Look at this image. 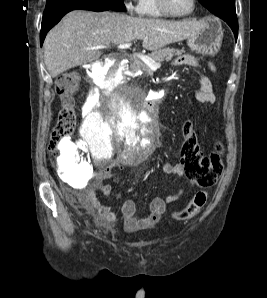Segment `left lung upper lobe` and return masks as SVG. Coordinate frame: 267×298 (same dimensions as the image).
I'll use <instances>...</instances> for the list:
<instances>
[{
    "label": "left lung upper lobe",
    "instance_id": "1",
    "mask_svg": "<svg viewBox=\"0 0 267 298\" xmlns=\"http://www.w3.org/2000/svg\"><path fill=\"white\" fill-rule=\"evenodd\" d=\"M210 12L220 17L221 15L235 14L234 0H198Z\"/></svg>",
    "mask_w": 267,
    "mask_h": 298
}]
</instances>
